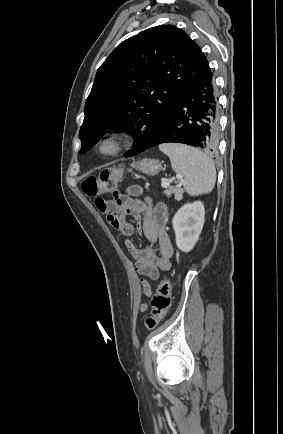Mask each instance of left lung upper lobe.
<instances>
[{
	"instance_id": "obj_1",
	"label": "left lung upper lobe",
	"mask_w": 283,
	"mask_h": 434,
	"mask_svg": "<svg viewBox=\"0 0 283 434\" xmlns=\"http://www.w3.org/2000/svg\"><path fill=\"white\" fill-rule=\"evenodd\" d=\"M200 47L173 25L149 28L114 49L86 100L79 153L110 131L133 135L135 155L151 144L182 92L210 71Z\"/></svg>"
}]
</instances>
